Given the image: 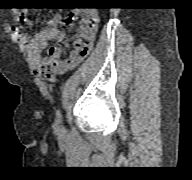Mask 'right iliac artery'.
Wrapping results in <instances>:
<instances>
[{
	"label": "right iliac artery",
	"mask_w": 192,
	"mask_h": 180,
	"mask_svg": "<svg viewBox=\"0 0 192 180\" xmlns=\"http://www.w3.org/2000/svg\"><path fill=\"white\" fill-rule=\"evenodd\" d=\"M61 121H62L61 112H60V110H57V112H56V120H55V128L56 129L59 128V124L61 123Z\"/></svg>",
	"instance_id": "right-iliac-artery-1"
}]
</instances>
